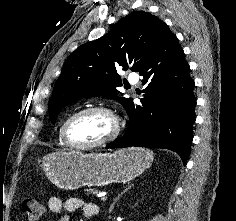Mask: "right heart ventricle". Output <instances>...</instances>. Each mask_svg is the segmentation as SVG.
Here are the masks:
<instances>
[{"instance_id":"e07e8e85","label":"right heart ventricle","mask_w":236,"mask_h":221,"mask_svg":"<svg viewBox=\"0 0 236 221\" xmlns=\"http://www.w3.org/2000/svg\"><path fill=\"white\" fill-rule=\"evenodd\" d=\"M66 120H64L60 127H59V130H58V143L61 147H67V145L65 144V142L63 141V138H62V127H63V124Z\"/></svg>"}]
</instances>
